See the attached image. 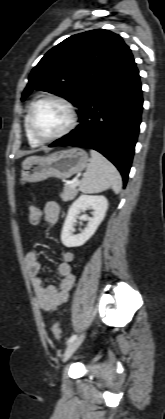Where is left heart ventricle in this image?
<instances>
[{"mask_svg": "<svg viewBox=\"0 0 165 419\" xmlns=\"http://www.w3.org/2000/svg\"><path fill=\"white\" fill-rule=\"evenodd\" d=\"M68 120L66 109L54 101L40 103L33 114L34 128L42 137H50L59 133L67 125Z\"/></svg>", "mask_w": 165, "mask_h": 419, "instance_id": "1", "label": "left heart ventricle"}]
</instances>
